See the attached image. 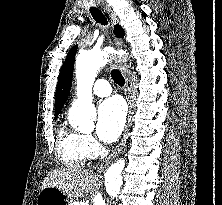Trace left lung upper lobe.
I'll list each match as a JSON object with an SVG mask.
<instances>
[{
  "instance_id": "obj_1",
  "label": "left lung upper lobe",
  "mask_w": 222,
  "mask_h": 205,
  "mask_svg": "<svg viewBox=\"0 0 222 205\" xmlns=\"http://www.w3.org/2000/svg\"><path fill=\"white\" fill-rule=\"evenodd\" d=\"M114 31L117 37H123L124 30L120 25L114 27ZM77 46L72 47L67 55V58L61 68L59 81L56 88V98H55V117L56 120L59 113L61 112L62 107L64 106L70 92L73 68H74V59L76 54Z\"/></svg>"
}]
</instances>
